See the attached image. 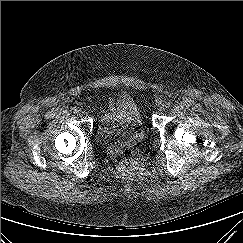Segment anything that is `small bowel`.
<instances>
[{"label":"small bowel","mask_w":243,"mask_h":243,"mask_svg":"<svg viewBox=\"0 0 243 243\" xmlns=\"http://www.w3.org/2000/svg\"><path fill=\"white\" fill-rule=\"evenodd\" d=\"M110 109L112 110V106L110 105Z\"/></svg>","instance_id":"obj_1"}]
</instances>
